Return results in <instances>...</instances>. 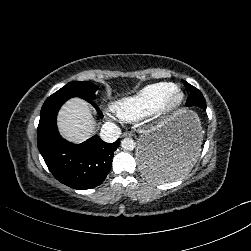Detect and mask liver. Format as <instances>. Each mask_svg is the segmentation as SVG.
I'll use <instances>...</instances> for the list:
<instances>
[{"mask_svg":"<svg viewBox=\"0 0 251 251\" xmlns=\"http://www.w3.org/2000/svg\"><path fill=\"white\" fill-rule=\"evenodd\" d=\"M60 133L75 143L86 140L94 130L95 121L87 102L80 98L67 101L58 113Z\"/></svg>","mask_w":251,"mask_h":251,"instance_id":"liver-1","label":"liver"}]
</instances>
